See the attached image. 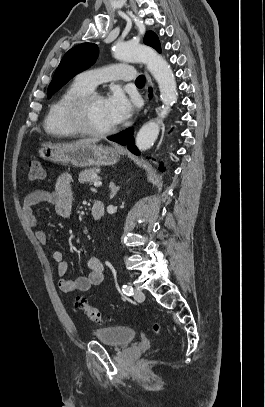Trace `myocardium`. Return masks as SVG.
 <instances>
[{"instance_id":"1","label":"myocardium","mask_w":265,"mask_h":407,"mask_svg":"<svg viewBox=\"0 0 265 407\" xmlns=\"http://www.w3.org/2000/svg\"><path fill=\"white\" fill-rule=\"evenodd\" d=\"M103 99V96L96 92H88L73 99L66 108V121L68 125L79 135L103 138L113 134L116 131V126L98 131L91 129L86 122L87 109L90 104L97 100Z\"/></svg>"}]
</instances>
